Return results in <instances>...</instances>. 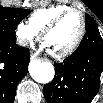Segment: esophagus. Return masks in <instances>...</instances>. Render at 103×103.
<instances>
[{"instance_id":"esophagus-1","label":"esophagus","mask_w":103,"mask_h":103,"mask_svg":"<svg viewBox=\"0 0 103 103\" xmlns=\"http://www.w3.org/2000/svg\"><path fill=\"white\" fill-rule=\"evenodd\" d=\"M35 58H37L36 53L35 52H31V59H35Z\"/></svg>"}]
</instances>
